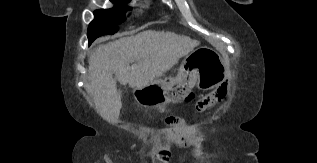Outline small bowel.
Masks as SVG:
<instances>
[{
  "instance_id": "1",
  "label": "small bowel",
  "mask_w": 317,
  "mask_h": 163,
  "mask_svg": "<svg viewBox=\"0 0 317 163\" xmlns=\"http://www.w3.org/2000/svg\"><path fill=\"white\" fill-rule=\"evenodd\" d=\"M165 123L166 128L160 133L164 146L155 158L156 163L169 162L172 157V145L177 148L195 147L194 138L188 133V127L184 122L175 117H169Z\"/></svg>"
}]
</instances>
